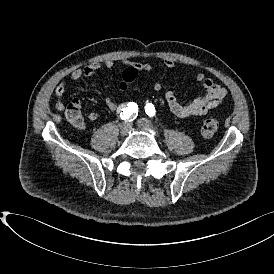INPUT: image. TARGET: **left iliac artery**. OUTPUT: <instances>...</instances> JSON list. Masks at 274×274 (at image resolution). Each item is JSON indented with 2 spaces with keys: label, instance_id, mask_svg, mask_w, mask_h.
Instances as JSON below:
<instances>
[{
  "label": "left iliac artery",
  "instance_id": "left-iliac-artery-1",
  "mask_svg": "<svg viewBox=\"0 0 274 274\" xmlns=\"http://www.w3.org/2000/svg\"><path fill=\"white\" fill-rule=\"evenodd\" d=\"M145 112L148 116L153 117L155 115V108L154 105L151 103L146 104Z\"/></svg>",
  "mask_w": 274,
  "mask_h": 274
}]
</instances>
